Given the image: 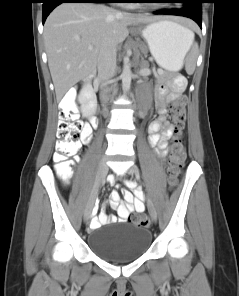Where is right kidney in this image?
<instances>
[{
	"mask_svg": "<svg viewBox=\"0 0 239 296\" xmlns=\"http://www.w3.org/2000/svg\"><path fill=\"white\" fill-rule=\"evenodd\" d=\"M77 100L80 104V111L83 117L87 118L95 113L97 98L91 83H87L83 86Z\"/></svg>",
	"mask_w": 239,
	"mask_h": 296,
	"instance_id": "obj_1",
	"label": "right kidney"
}]
</instances>
